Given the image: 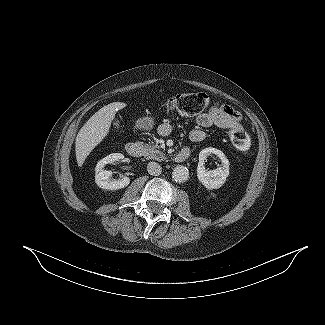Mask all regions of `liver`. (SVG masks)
<instances>
[{
    "label": "liver",
    "mask_w": 325,
    "mask_h": 325,
    "mask_svg": "<svg viewBox=\"0 0 325 325\" xmlns=\"http://www.w3.org/2000/svg\"><path fill=\"white\" fill-rule=\"evenodd\" d=\"M126 106L127 104L123 102L110 103L99 109L83 125L77 134L75 142L78 166L83 165L87 156L108 135L116 113Z\"/></svg>",
    "instance_id": "1"
}]
</instances>
